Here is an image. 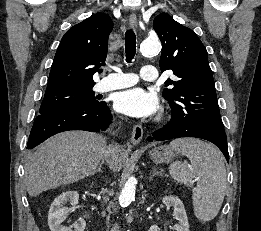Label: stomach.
<instances>
[{"mask_svg":"<svg viewBox=\"0 0 261 231\" xmlns=\"http://www.w3.org/2000/svg\"><path fill=\"white\" fill-rule=\"evenodd\" d=\"M149 156L157 164H168L177 156V150L168 145L158 146L150 150Z\"/></svg>","mask_w":261,"mask_h":231,"instance_id":"stomach-1","label":"stomach"}]
</instances>
